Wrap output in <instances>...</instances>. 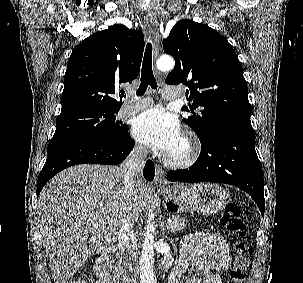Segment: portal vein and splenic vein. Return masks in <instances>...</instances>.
Wrapping results in <instances>:
<instances>
[{"label": "portal vein and splenic vein", "instance_id": "obj_1", "mask_svg": "<svg viewBox=\"0 0 303 283\" xmlns=\"http://www.w3.org/2000/svg\"><path fill=\"white\" fill-rule=\"evenodd\" d=\"M171 223H172V221H171V220H170V221H168V224H167V226H166V228H167V229H170V228L172 227Z\"/></svg>", "mask_w": 303, "mask_h": 283}]
</instances>
